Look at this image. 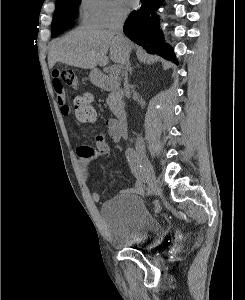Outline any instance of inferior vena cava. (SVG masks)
<instances>
[{"instance_id": "inferior-vena-cava-1", "label": "inferior vena cava", "mask_w": 245, "mask_h": 300, "mask_svg": "<svg viewBox=\"0 0 245 300\" xmlns=\"http://www.w3.org/2000/svg\"><path fill=\"white\" fill-rule=\"evenodd\" d=\"M126 20V14L125 13H119L113 20L112 26H111V31L116 35V37L121 41L122 45L124 46L125 49V61H124V71H125V80H128L127 77V72L130 67L129 63V55L126 50V44H127V39L123 35V25ZM136 150L137 151H143L144 146H143V140L141 137H138L136 141Z\"/></svg>"}]
</instances>
